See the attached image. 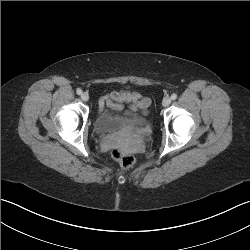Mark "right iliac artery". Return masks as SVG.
Masks as SVG:
<instances>
[{
    "mask_svg": "<svg viewBox=\"0 0 250 250\" xmlns=\"http://www.w3.org/2000/svg\"><path fill=\"white\" fill-rule=\"evenodd\" d=\"M76 92H77L78 95H81V94H82V90H81V89H77Z\"/></svg>",
    "mask_w": 250,
    "mask_h": 250,
    "instance_id": "82829eb1",
    "label": "right iliac artery"
}]
</instances>
